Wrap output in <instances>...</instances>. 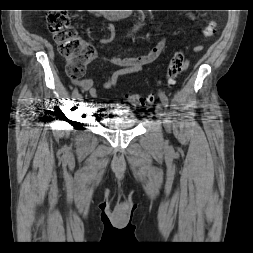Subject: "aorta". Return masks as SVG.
<instances>
[{
	"label": "aorta",
	"instance_id": "aorta-1",
	"mask_svg": "<svg viewBox=\"0 0 253 253\" xmlns=\"http://www.w3.org/2000/svg\"><path fill=\"white\" fill-rule=\"evenodd\" d=\"M141 19H143V14H142V13H141ZM140 26H141V24L139 23V24L135 27L134 31L138 30V29L140 28Z\"/></svg>",
	"mask_w": 253,
	"mask_h": 253
}]
</instances>
